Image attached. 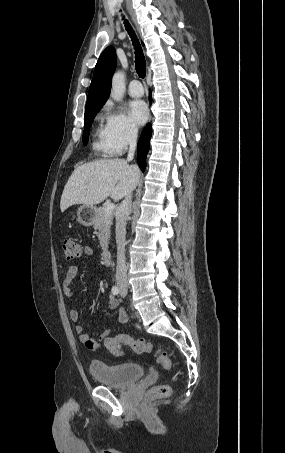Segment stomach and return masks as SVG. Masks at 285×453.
Instances as JSON below:
<instances>
[{"label":"stomach","mask_w":285,"mask_h":453,"mask_svg":"<svg viewBox=\"0 0 285 453\" xmlns=\"http://www.w3.org/2000/svg\"><path fill=\"white\" fill-rule=\"evenodd\" d=\"M96 209L93 206L81 205L77 210V219L83 226H91L95 220ZM69 215H72L70 213Z\"/></svg>","instance_id":"0dacf381"}]
</instances>
